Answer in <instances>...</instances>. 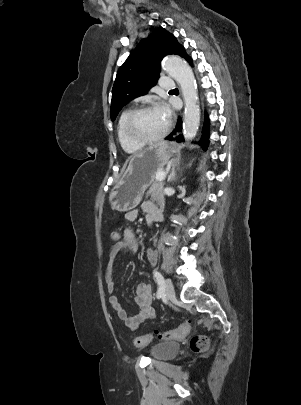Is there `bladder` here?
Here are the masks:
<instances>
[{"mask_svg":"<svg viewBox=\"0 0 301 405\" xmlns=\"http://www.w3.org/2000/svg\"><path fill=\"white\" fill-rule=\"evenodd\" d=\"M179 345L175 342H160L151 348V355L157 360H167L178 352Z\"/></svg>","mask_w":301,"mask_h":405,"instance_id":"obj_1","label":"bladder"}]
</instances>
